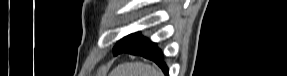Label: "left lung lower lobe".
Returning a JSON list of instances; mask_svg holds the SVG:
<instances>
[{
  "instance_id": "1",
  "label": "left lung lower lobe",
  "mask_w": 287,
  "mask_h": 76,
  "mask_svg": "<svg viewBox=\"0 0 287 76\" xmlns=\"http://www.w3.org/2000/svg\"><path fill=\"white\" fill-rule=\"evenodd\" d=\"M123 52L133 55H142L145 58L153 60L158 64L159 67L162 68L163 72L168 75V68L163 61L161 51L149 39L143 38L138 42L122 47L117 52H115L114 55Z\"/></svg>"
}]
</instances>
